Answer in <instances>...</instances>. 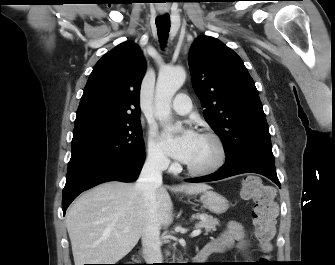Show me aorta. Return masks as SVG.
Wrapping results in <instances>:
<instances>
[{"label": "aorta", "mask_w": 335, "mask_h": 265, "mask_svg": "<svg viewBox=\"0 0 335 265\" xmlns=\"http://www.w3.org/2000/svg\"><path fill=\"white\" fill-rule=\"evenodd\" d=\"M186 79L182 67L165 68L160 70L155 92L156 117L161 123L170 120L171 101Z\"/></svg>", "instance_id": "762f6f07"}]
</instances>
